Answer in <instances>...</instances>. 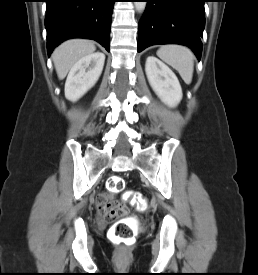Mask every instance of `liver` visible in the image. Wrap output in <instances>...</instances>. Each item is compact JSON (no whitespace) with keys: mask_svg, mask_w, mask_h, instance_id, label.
<instances>
[{"mask_svg":"<svg viewBox=\"0 0 258 275\" xmlns=\"http://www.w3.org/2000/svg\"><path fill=\"white\" fill-rule=\"evenodd\" d=\"M95 50L94 43L85 39H72L59 45L52 54L58 78L64 79L77 61Z\"/></svg>","mask_w":258,"mask_h":275,"instance_id":"liver-1","label":"liver"}]
</instances>
